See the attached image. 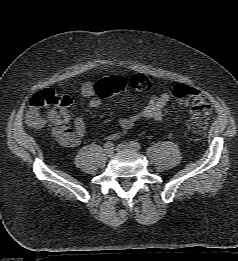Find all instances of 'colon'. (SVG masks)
Masks as SVG:
<instances>
[{"mask_svg":"<svg viewBox=\"0 0 238 261\" xmlns=\"http://www.w3.org/2000/svg\"><path fill=\"white\" fill-rule=\"evenodd\" d=\"M128 85L139 92H148L152 87L150 79L144 75L132 77L129 83L122 77L111 76L96 83V92L106 98L123 91ZM173 96L180 104L188 106L191 110V118L187 125L188 136L193 140L200 139L204 134L211 113L210 104L204 94L197 88L178 84L173 88ZM70 104L71 100L68 96L59 94L53 89L39 91L30 99L27 122L34 128L42 127L46 121L44 114L46 108H52V110L59 112L67 111Z\"/></svg>","mask_w":238,"mask_h":261,"instance_id":"1","label":"colon"}]
</instances>
